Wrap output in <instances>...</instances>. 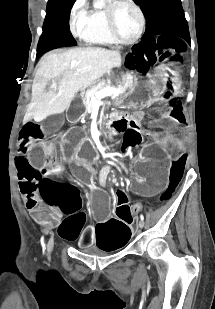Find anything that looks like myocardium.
Segmentation results:
<instances>
[{"mask_svg": "<svg viewBox=\"0 0 215 309\" xmlns=\"http://www.w3.org/2000/svg\"><path fill=\"white\" fill-rule=\"evenodd\" d=\"M127 8L129 9L134 17H135V29L133 35L129 39H125L124 36H127V33H124V31H118L116 28V21L114 19H111V12L107 11L106 12V20H108L107 24V29L109 30L108 35L109 37L116 38L114 39V45L116 46H127V45H132L134 44L141 36L142 31H143V26H144V19L141 11L132 4H121L118 6H110V11H115L118 8Z\"/></svg>", "mask_w": 215, "mask_h": 309, "instance_id": "f54148a6", "label": "myocardium"}]
</instances>
